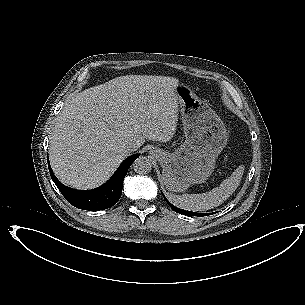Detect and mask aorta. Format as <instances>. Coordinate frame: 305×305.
Here are the masks:
<instances>
[{"label": "aorta", "instance_id": "obj_1", "mask_svg": "<svg viewBox=\"0 0 305 305\" xmlns=\"http://www.w3.org/2000/svg\"><path fill=\"white\" fill-rule=\"evenodd\" d=\"M133 169L138 174H148L152 170L151 160L145 156L138 157L132 164Z\"/></svg>", "mask_w": 305, "mask_h": 305}]
</instances>
